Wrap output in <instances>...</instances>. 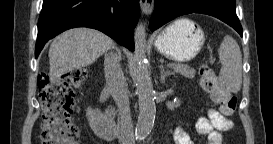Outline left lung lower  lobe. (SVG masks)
Instances as JSON below:
<instances>
[{
	"mask_svg": "<svg viewBox=\"0 0 273 144\" xmlns=\"http://www.w3.org/2000/svg\"><path fill=\"white\" fill-rule=\"evenodd\" d=\"M235 6V0H155L149 27L154 31L178 16L203 13L222 20L242 36Z\"/></svg>",
	"mask_w": 273,
	"mask_h": 144,
	"instance_id": "1",
	"label": "left lung lower lobe"
}]
</instances>
